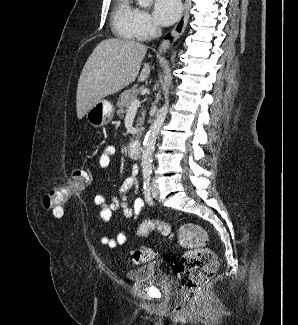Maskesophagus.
I'll return each mask as SVG.
<instances>
[{"mask_svg": "<svg viewBox=\"0 0 298 325\" xmlns=\"http://www.w3.org/2000/svg\"><path fill=\"white\" fill-rule=\"evenodd\" d=\"M189 10H190V2L189 0H185L183 13L181 14L177 24L175 25L173 31L171 32V36H173L174 39L179 37L185 30V27L187 26L189 20ZM169 44H170L169 41L162 42V44L159 46L158 52L163 53Z\"/></svg>", "mask_w": 298, "mask_h": 325, "instance_id": "34e87169", "label": "esophagus"}]
</instances>
